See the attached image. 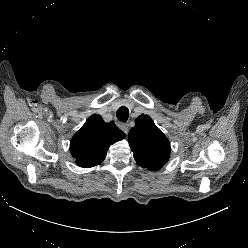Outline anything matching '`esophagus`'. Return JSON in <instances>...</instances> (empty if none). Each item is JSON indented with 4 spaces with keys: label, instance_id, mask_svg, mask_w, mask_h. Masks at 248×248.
I'll list each match as a JSON object with an SVG mask.
<instances>
[{
    "label": "esophagus",
    "instance_id": "obj_1",
    "mask_svg": "<svg viewBox=\"0 0 248 248\" xmlns=\"http://www.w3.org/2000/svg\"><path fill=\"white\" fill-rule=\"evenodd\" d=\"M120 129L127 135L129 132L128 125L126 124H121Z\"/></svg>",
    "mask_w": 248,
    "mask_h": 248
}]
</instances>
